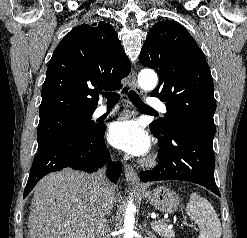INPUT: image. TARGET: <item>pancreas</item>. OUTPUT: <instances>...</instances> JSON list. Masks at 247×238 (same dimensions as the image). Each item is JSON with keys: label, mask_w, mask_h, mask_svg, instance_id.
Wrapping results in <instances>:
<instances>
[{"label": "pancreas", "mask_w": 247, "mask_h": 238, "mask_svg": "<svg viewBox=\"0 0 247 238\" xmlns=\"http://www.w3.org/2000/svg\"><path fill=\"white\" fill-rule=\"evenodd\" d=\"M152 229L155 233H157L159 236L164 238H174L175 232L173 229L168 227V224L163 220L155 221L151 224Z\"/></svg>", "instance_id": "1"}]
</instances>
